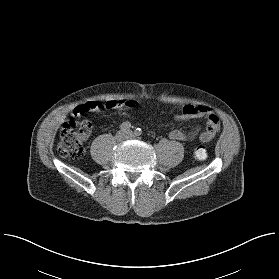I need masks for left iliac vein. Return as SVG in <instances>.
Masks as SVG:
<instances>
[{"instance_id":"left-iliac-vein-1","label":"left iliac vein","mask_w":279,"mask_h":279,"mask_svg":"<svg viewBox=\"0 0 279 279\" xmlns=\"http://www.w3.org/2000/svg\"><path fill=\"white\" fill-rule=\"evenodd\" d=\"M127 135H128L129 137H132V132H131V131L127 132Z\"/></svg>"}]
</instances>
